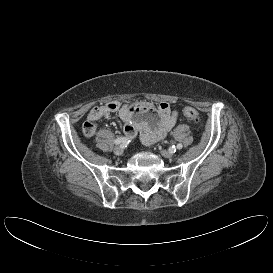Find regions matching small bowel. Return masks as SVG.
Wrapping results in <instances>:
<instances>
[{"mask_svg": "<svg viewBox=\"0 0 273 273\" xmlns=\"http://www.w3.org/2000/svg\"><path fill=\"white\" fill-rule=\"evenodd\" d=\"M113 113H117L124 122L125 134L130 139L139 134L145 145H152L163 139L178 118V112L172 110L166 102L153 107L147 102L122 103L111 100L91 109L83 124L84 136L92 137L96 132L97 122Z\"/></svg>", "mask_w": 273, "mask_h": 273, "instance_id": "1", "label": "small bowel"}]
</instances>
